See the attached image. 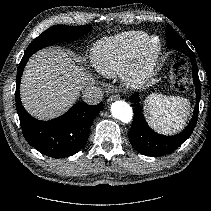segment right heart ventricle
I'll return each mask as SVG.
<instances>
[{
  "label": "right heart ventricle",
  "instance_id": "1",
  "mask_svg": "<svg viewBox=\"0 0 211 211\" xmlns=\"http://www.w3.org/2000/svg\"><path fill=\"white\" fill-rule=\"evenodd\" d=\"M146 36L142 30H130L97 41L91 50L94 67L107 76L119 73L134 57Z\"/></svg>",
  "mask_w": 211,
  "mask_h": 211
}]
</instances>
